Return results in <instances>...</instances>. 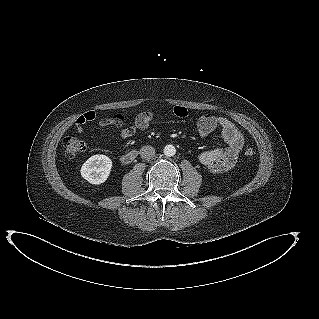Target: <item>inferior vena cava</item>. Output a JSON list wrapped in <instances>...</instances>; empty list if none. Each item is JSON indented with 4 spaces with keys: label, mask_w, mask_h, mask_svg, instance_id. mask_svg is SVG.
<instances>
[{
    "label": "inferior vena cava",
    "mask_w": 319,
    "mask_h": 319,
    "mask_svg": "<svg viewBox=\"0 0 319 319\" xmlns=\"http://www.w3.org/2000/svg\"><path fill=\"white\" fill-rule=\"evenodd\" d=\"M140 155L144 159H150L155 155V149L152 146H143L140 149Z\"/></svg>",
    "instance_id": "602c4592"
}]
</instances>
